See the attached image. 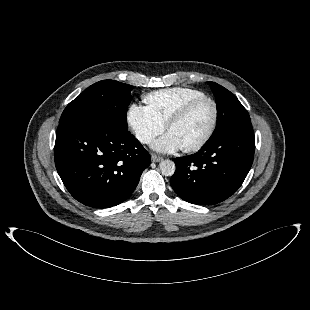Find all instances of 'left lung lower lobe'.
<instances>
[{
  "mask_svg": "<svg viewBox=\"0 0 310 310\" xmlns=\"http://www.w3.org/2000/svg\"><path fill=\"white\" fill-rule=\"evenodd\" d=\"M255 137L246 125L207 142L197 153L174 159L170 184L183 200L197 205L224 201L241 186L253 163Z\"/></svg>",
  "mask_w": 310,
  "mask_h": 310,
  "instance_id": "left-lung-lower-lobe-1",
  "label": "left lung lower lobe"
}]
</instances>
